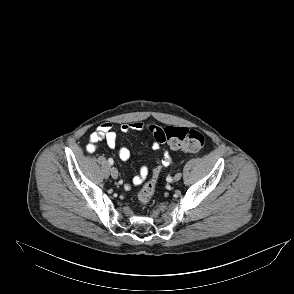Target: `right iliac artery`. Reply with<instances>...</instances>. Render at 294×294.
Listing matches in <instances>:
<instances>
[{
    "label": "right iliac artery",
    "instance_id": "82829eb1",
    "mask_svg": "<svg viewBox=\"0 0 294 294\" xmlns=\"http://www.w3.org/2000/svg\"><path fill=\"white\" fill-rule=\"evenodd\" d=\"M108 162L110 165H113V163H114L113 159H109Z\"/></svg>",
    "mask_w": 294,
    "mask_h": 294
}]
</instances>
